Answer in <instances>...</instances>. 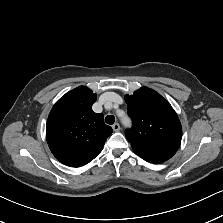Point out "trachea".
I'll list each match as a JSON object with an SVG mask.
<instances>
[{
	"label": "trachea",
	"instance_id": "3493384b",
	"mask_svg": "<svg viewBox=\"0 0 223 223\" xmlns=\"http://www.w3.org/2000/svg\"><path fill=\"white\" fill-rule=\"evenodd\" d=\"M105 122L109 125H112L115 122V117L113 115H108L105 117Z\"/></svg>",
	"mask_w": 223,
	"mask_h": 223
}]
</instances>
